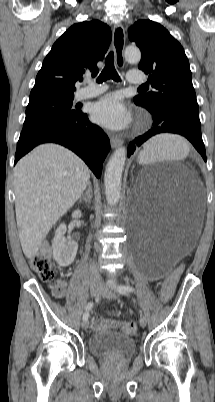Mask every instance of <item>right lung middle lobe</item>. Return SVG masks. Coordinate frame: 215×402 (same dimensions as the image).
<instances>
[{"label":"right lung middle lobe","mask_w":215,"mask_h":402,"mask_svg":"<svg viewBox=\"0 0 215 402\" xmlns=\"http://www.w3.org/2000/svg\"><path fill=\"white\" fill-rule=\"evenodd\" d=\"M73 99L72 95H48L29 99L18 143L78 116L80 111L72 108Z\"/></svg>","instance_id":"1"}]
</instances>
